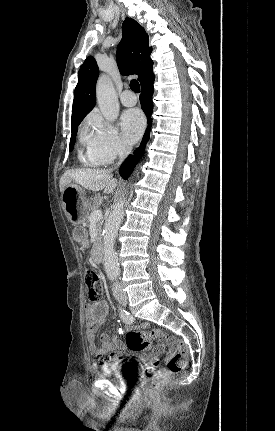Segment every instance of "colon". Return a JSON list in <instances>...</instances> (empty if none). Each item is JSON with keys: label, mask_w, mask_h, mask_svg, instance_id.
Masks as SVG:
<instances>
[{"label": "colon", "mask_w": 275, "mask_h": 431, "mask_svg": "<svg viewBox=\"0 0 275 431\" xmlns=\"http://www.w3.org/2000/svg\"><path fill=\"white\" fill-rule=\"evenodd\" d=\"M85 282L88 289V296L92 301L99 299L103 293V280L95 269L87 268L84 271ZM159 339L167 340L178 349L167 362V369H159L158 363L150 361L145 369V375L150 378L146 387L149 394L160 391L169 381L172 374L183 370L188 362V346L181 339L168 336L160 330L150 332L129 331L126 335V345L130 351L141 352L156 347H151L148 340Z\"/></svg>", "instance_id": "5ec220e1"}]
</instances>
